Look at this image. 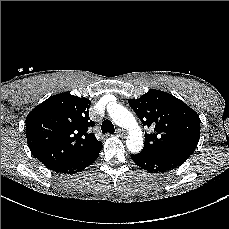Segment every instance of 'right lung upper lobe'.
Returning a JSON list of instances; mask_svg holds the SVG:
<instances>
[{"label": "right lung upper lobe", "mask_w": 229, "mask_h": 229, "mask_svg": "<svg viewBox=\"0 0 229 229\" xmlns=\"http://www.w3.org/2000/svg\"><path fill=\"white\" fill-rule=\"evenodd\" d=\"M88 98L70 93L49 97L36 106L26 118V138L31 153L47 168L67 163L93 151L102 142L89 130Z\"/></svg>", "instance_id": "cb5924a9"}]
</instances>
